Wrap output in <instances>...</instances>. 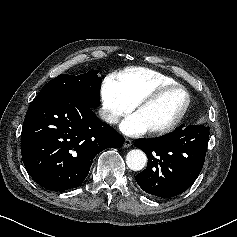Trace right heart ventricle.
<instances>
[{"label": "right heart ventricle", "instance_id": "right-heart-ventricle-1", "mask_svg": "<svg viewBox=\"0 0 237 237\" xmlns=\"http://www.w3.org/2000/svg\"><path fill=\"white\" fill-rule=\"evenodd\" d=\"M113 76L120 90L133 104L160 86L177 83L170 76L141 67L127 68Z\"/></svg>", "mask_w": 237, "mask_h": 237}]
</instances>
